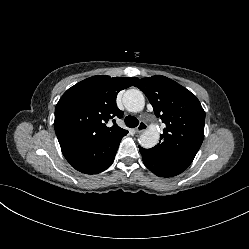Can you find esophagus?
<instances>
[{"label": "esophagus", "instance_id": "esophagus-1", "mask_svg": "<svg viewBox=\"0 0 249 249\" xmlns=\"http://www.w3.org/2000/svg\"><path fill=\"white\" fill-rule=\"evenodd\" d=\"M147 129V124L143 121L139 123V125L136 127L135 131L136 133H142Z\"/></svg>", "mask_w": 249, "mask_h": 249}]
</instances>
